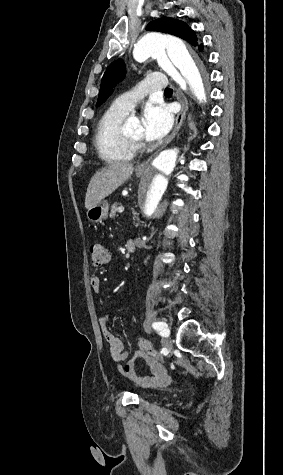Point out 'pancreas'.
Wrapping results in <instances>:
<instances>
[{"mask_svg":"<svg viewBox=\"0 0 283 475\" xmlns=\"http://www.w3.org/2000/svg\"><path fill=\"white\" fill-rule=\"evenodd\" d=\"M120 206H121L120 202H115V204L111 206L110 218H115L116 212H118V208H120Z\"/></svg>","mask_w":283,"mask_h":475,"instance_id":"1","label":"pancreas"}]
</instances>
